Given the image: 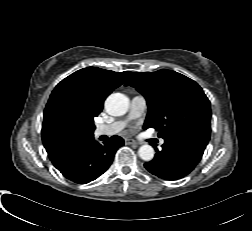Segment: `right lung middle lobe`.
<instances>
[{
	"instance_id": "1",
	"label": "right lung middle lobe",
	"mask_w": 252,
	"mask_h": 231,
	"mask_svg": "<svg viewBox=\"0 0 252 231\" xmlns=\"http://www.w3.org/2000/svg\"><path fill=\"white\" fill-rule=\"evenodd\" d=\"M54 131L65 138H76L92 133L94 127L82 119L68 104L59 103L53 110Z\"/></svg>"
}]
</instances>
